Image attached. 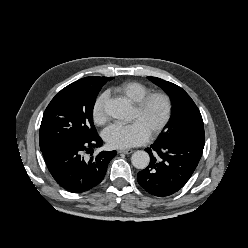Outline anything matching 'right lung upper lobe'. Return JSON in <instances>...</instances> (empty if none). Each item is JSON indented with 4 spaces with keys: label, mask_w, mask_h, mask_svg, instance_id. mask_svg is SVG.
Listing matches in <instances>:
<instances>
[{
    "label": "right lung upper lobe",
    "mask_w": 248,
    "mask_h": 248,
    "mask_svg": "<svg viewBox=\"0 0 248 248\" xmlns=\"http://www.w3.org/2000/svg\"><path fill=\"white\" fill-rule=\"evenodd\" d=\"M112 77H85L80 80H77L76 82H73L72 84L77 85H84V86H97V85H104L107 81L112 80Z\"/></svg>",
    "instance_id": "cb5924a9"
}]
</instances>
